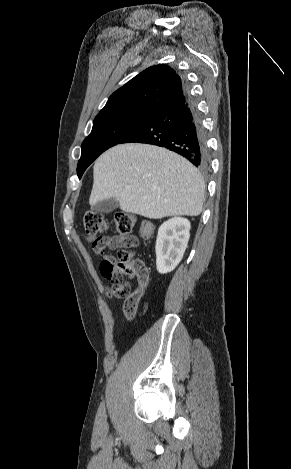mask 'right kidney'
Instances as JSON below:
<instances>
[{"mask_svg":"<svg viewBox=\"0 0 291 469\" xmlns=\"http://www.w3.org/2000/svg\"><path fill=\"white\" fill-rule=\"evenodd\" d=\"M190 222L174 217L164 222L158 230L156 239V266L160 274L175 269L183 258L190 237Z\"/></svg>","mask_w":291,"mask_h":469,"instance_id":"1","label":"right kidney"}]
</instances>
